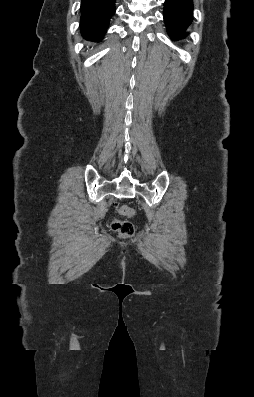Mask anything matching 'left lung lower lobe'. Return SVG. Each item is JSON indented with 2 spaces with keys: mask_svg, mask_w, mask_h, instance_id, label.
Masks as SVG:
<instances>
[{
  "mask_svg": "<svg viewBox=\"0 0 254 397\" xmlns=\"http://www.w3.org/2000/svg\"><path fill=\"white\" fill-rule=\"evenodd\" d=\"M193 19L192 0H165L164 22L173 40L186 37V29Z\"/></svg>",
  "mask_w": 254,
  "mask_h": 397,
  "instance_id": "obj_1",
  "label": "left lung lower lobe"
}]
</instances>
